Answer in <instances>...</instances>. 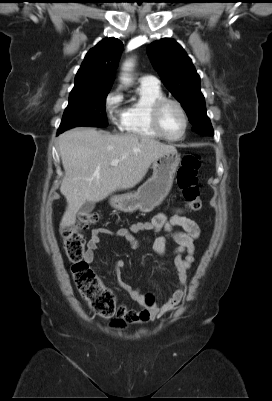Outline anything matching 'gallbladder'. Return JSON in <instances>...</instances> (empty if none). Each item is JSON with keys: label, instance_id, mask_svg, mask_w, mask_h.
Instances as JSON below:
<instances>
[{"label": "gallbladder", "instance_id": "gallbladder-1", "mask_svg": "<svg viewBox=\"0 0 272 401\" xmlns=\"http://www.w3.org/2000/svg\"><path fill=\"white\" fill-rule=\"evenodd\" d=\"M95 207V203L94 202H90V201H86L81 208L79 209V214L80 215H87L90 212L93 211Z\"/></svg>", "mask_w": 272, "mask_h": 401}]
</instances>
